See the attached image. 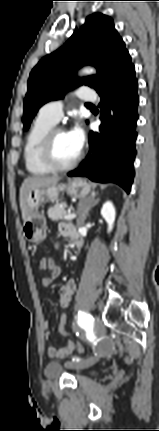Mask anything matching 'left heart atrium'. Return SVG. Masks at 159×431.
Segmentation results:
<instances>
[{
    "instance_id": "obj_1",
    "label": "left heart atrium",
    "mask_w": 159,
    "mask_h": 431,
    "mask_svg": "<svg viewBox=\"0 0 159 431\" xmlns=\"http://www.w3.org/2000/svg\"><path fill=\"white\" fill-rule=\"evenodd\" d=\"M67 135L74 148L80 152L85 139L83 130L78 125H76L67 132Z\"/></svg>"
}]
</instances>
